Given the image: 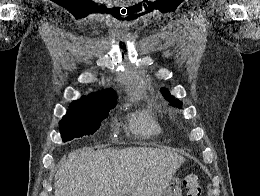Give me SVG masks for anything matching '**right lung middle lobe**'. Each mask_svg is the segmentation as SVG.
Here are the masks:
<instances>
[{
  "label": "right lung middle lobe",
  "mask_w": 260,
  "mask_h": 196,
  "mask_svg": "<svg viewBox=\"0 0 260 196\" xmlns=\"http://www.w3.org/2000/svg\"><path fill=\"white\" fill-rule=\"evenodd\" d=\"M113 107L104 109H71L59 122L63 142L92 135Z\"/></svg>",
  "instance_id": "dd1d6c3e"
}]
</instances>
